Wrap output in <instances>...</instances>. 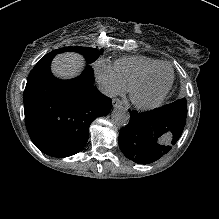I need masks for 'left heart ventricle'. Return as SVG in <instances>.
<instances>
[{"mask_svg": "<svg viewBox=\"0 0 219 219\" xmlns=\"http://www.w3.org/2000/svg\"><path fill=\"white\" fill-rule=\"evenodd\" d=\"M170 80V69L160 66L135 88L133 97L141 102L153 101L167 89Z\"/></svg>", "mask_w": 219, "mask_h": 219, "instance_id": "b2bd125f", "label": "left heart ventricle"}]
</instances>
